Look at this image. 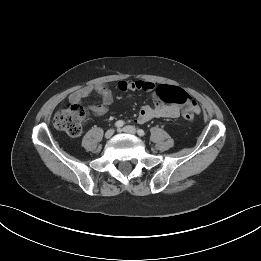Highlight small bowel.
<instances>
[{"mask_svg": "<svg viewBox=\"0 0 261 261\" xmlns=\"http://www.w3.org/2000/svg\"><path fill=\"white\" fill-rule=\"evenodd\" d=\"M118 88L121 91L143 90L154 96V103L152 105H143L140 108L135 120L138 124H144L155 118L174 119L180 117L184 113V109L180 106L162 103L157 95V87L152 82L143 80L120 81L118 83ZM93 92L102 97V103L99 105H91L90 109L95 115H103L107 112L108 107L113 102L112 92L105 83L88 85L76 90L69 96V102L70 104H79ZM192 103L194 113H198V105L194 101H192Z\"/></svg>", "mask_w": 261, "mask_h": 261, "instance_id": "c3829d8e", "label": "small bowel"}]
</instances>
